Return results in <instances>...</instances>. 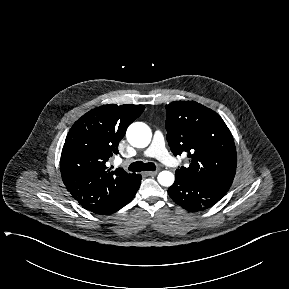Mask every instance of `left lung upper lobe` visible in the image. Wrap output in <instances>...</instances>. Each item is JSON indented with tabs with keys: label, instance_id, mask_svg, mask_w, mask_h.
<instances>
[{
	"label": "left lung upper lobe",
	"instance_id": "obj_1",
	"mask_svg": "<svg viewBox=\"0 0 289 289\" xmlns=\"http://www.w3.org/2000/svg\"><path fill=\"white\" fill-rule=\"evenodd\" d=\"M165 107L171 150L174 154L185 150L192 157L190 166L177 169L176 174L227 192L236 172L237 157L232 134L222 118L194 101H175Z\"/></svg>",
	"mask_w": 289,
	"mask_h": 289
}]
</instances>
